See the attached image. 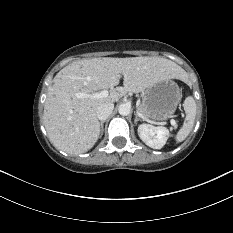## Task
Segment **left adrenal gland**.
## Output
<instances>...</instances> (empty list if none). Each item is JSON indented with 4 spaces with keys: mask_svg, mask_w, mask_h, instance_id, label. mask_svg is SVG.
<instances>
[{
    "mask_svg": "<svg viewBox=\"0 0 233 233\" xmlns=\"http://www.w3.org/2000/svg\"><path fill=\"white\" fill-rule=\"evenodd\" d=\"M134 115H135L134 123L137 125V122L141 121V119L138 117V115L136 113H134Z\"/></svg>",
    "mask_w": 233,
    "mask_h": 233,
    "instance_id": "a2214340",
    "label": "left adrenal gland"
}]
</instances>
